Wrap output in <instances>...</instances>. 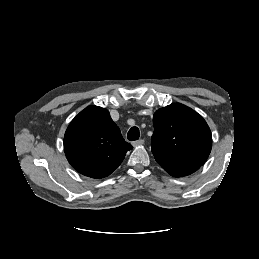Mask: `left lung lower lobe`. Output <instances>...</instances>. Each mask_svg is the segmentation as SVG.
<instances>
[{"label": "left lung lower lobe", "instance_id": "1", "mask_svg": "<svg viewBox=\"0 0 259 259\" xmlns=\"http://www.w3.org/2000/svg\"><path fill=\"white\" fill-rule=\"evenodd\" d=\"M158 164L170 175L174 177H182L189 174H192L196 170L199 169L200 166L195 165H179V164H171L167 162H160Z\"/></svg>", "mask_w": 259, "mask_h": 259}]
</instances>
